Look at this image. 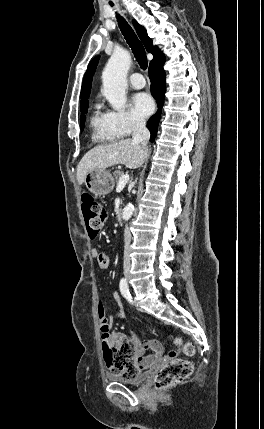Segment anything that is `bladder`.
I'll use <instances>...</instances> for the list:
<instances>
[{
  "instance_id": "bladder-1",
  "label": "bladder",
  "mask_w": 264,
  "mask_h": 429,
  "mask_svg": "<svg viewBox=\"0 0 264 429\" xmlns=\"http://www.w3.org/2000/svg\"><path fill=\"white\" fill-rule=\"evenodd\" d=\"M149 376L148 372L138 373L133 377H123L119 375L109 374L108 378L116 383L123 385L136 386L142 384Z\"/></svg>"
}]
</instances>
